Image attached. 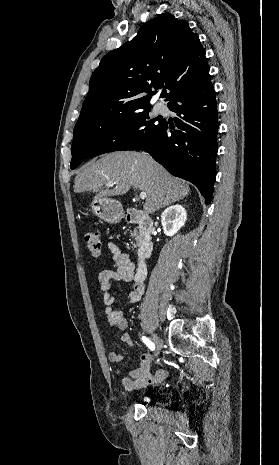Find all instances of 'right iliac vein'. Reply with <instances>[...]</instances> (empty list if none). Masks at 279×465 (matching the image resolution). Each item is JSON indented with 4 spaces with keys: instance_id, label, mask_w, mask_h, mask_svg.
<instances>
[{
    "instance_id": "obj_1",
    "label": "right iliac vein",
    "mask_w": 279,
    "mask_h": 465,
    "mask_svg": "<svg viewBox=\"0 0 279 465\" xmlns=\"http://www.w3.org/2000/svg\"><path fill=\"white\" fill-rule=\"evenodd\" d=\"M152 341L155 345V349H156V356L159 355L160 351H161V348H162V343H161V340L160 338L156 335V334H153L152 335Z\"/></svg>"
}]
</instances>
